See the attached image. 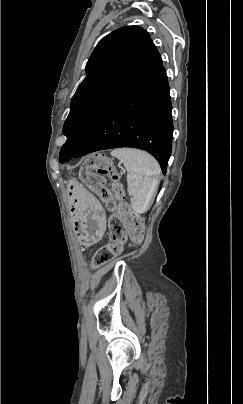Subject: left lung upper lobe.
I'll list each match as a JSON object with an SVG mask.
<instances>
[{"instance_id": "1", "label": "left lung upper lobe", "mask_w": 243, "mask_h": 404, "mask_svg": "<svg viewBox=\"0 0 243 404\" xmlns=\"http://www.w3.org/2000/svg\"><path fill=\"white\" fill-rule=\"evenodd\" d=\"M161 68L160 54L147 31L125 26L105 36L91 54L86 77L72 98L59 161L69 160L98 119Z\"/></svg>"}]
</instances>
